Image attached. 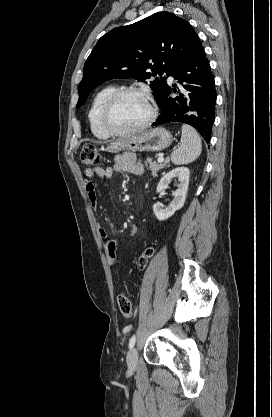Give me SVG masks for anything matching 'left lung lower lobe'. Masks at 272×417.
<instances>
[{
    "label": "left lung lower lobe",
    "instance_id": "1",
    "mask_svg": "<svg viewBox=\"0 0 272 417\" xmlns=\"http://www.w3.org/2000/svg\"><path fill=\"white\" fill-rule=\"evenodd\" d=\"M180 84H167L159 101L161 114L154 126L182 122L196 128L207 143L215 120L216 90L210 64L203 47L185 58L170 73ZM178 94L171 98V92Z\"/></svg>",
    "mask_w": 272,
    "mask_h": 417
}]
</instances>
